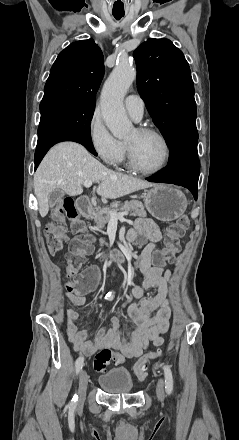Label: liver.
<instances>
[{"label":"liver","instance_id":"1","mask_svg":"<svg viewBox=\"0 0 239 440\" xmlns=\"http://www.w3.org/2000/svg\"><path fill=\"white\" fill-rule=\"evenodd\" d=\"M84 182H101L96 192L101 198L116 200L137 190L152 188L156 184L118 174L95 160L83 146L75 142H62L49 150L34 176V192L39 214L45 218L49 212L48 194L61 188L68 196L82 194Z\"/></svg>","mask_w":239,"mask_h":440}]
</instances>
